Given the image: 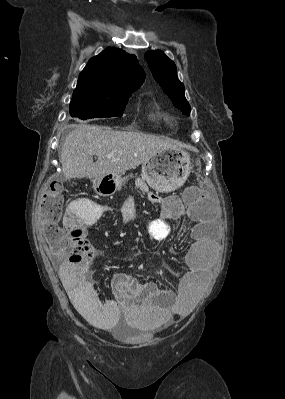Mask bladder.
<instances>
[{
  "mask_svg": "<svg viewBox=\"0 0 285 399\" xmlns=\"http://www.w3.org/2000/svg\"><path fill=\"white\" fill-rule=\"evenodd\" d=\"M111 332H112L113 334L119 335L118 330H117L116 328L111 329ZM121 335H122V334H121ZM123 335H133V336H136L137 338H140L141 333H139V332L125 331V332L123 333Z\"/></svg>",
  "mask_w": 285,
  "mask_h": 399,
  "instance_id": "31cf9c89",
  "label": "bladder"
}]
</instances>
